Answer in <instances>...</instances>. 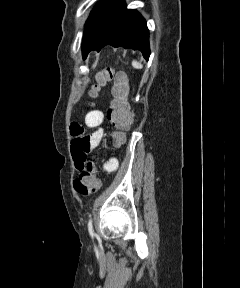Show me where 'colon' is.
<instances>
[{"label":"colon","instance_id":"1","mask_svg":"<svg viewBox=\"0 0 240 288\" xmlns=\"http://www.w3.org/2000/svg\"><path fill=\"white\" fill-rule=\"evenodd\" d=\"M113 80L111 91L112 101L107 112V117L113 127L125 129L132 123V112L127 101L128 87L124 73L115 72L112 69L103 70L97 77V85L92 89L91 95L95 96L97 88L107 81ZM100 187V181L95 174L92 161H87L80 175L74 181V188L82 196H89Z\"/></svg>","mask_w":240,"mask_h":288}]
</instances>
